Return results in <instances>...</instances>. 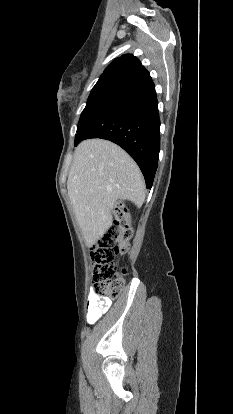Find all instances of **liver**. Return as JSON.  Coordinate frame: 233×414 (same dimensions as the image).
Masks as SVG:
<instances>
[{"label":"liver","instance_id":"liver-1","mask_svg":"<svg viewBox=\"0 0 233 414\" xmlns=\"http://www.w3.org/2000/svg\"><path fill=\"white\" fill-rule=\"evenodd\" d=\"M82 235L95 244L112 226L118 199L137 207L145 200V182L133 159L118 145L103 139L82 141L74 152L67 180Z\"/></svg>","mask_w":233,"mask_h":414}]
</instances>
